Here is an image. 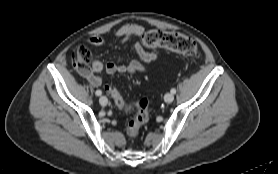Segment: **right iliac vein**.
<instances>
[{"label":"right iliac vein","instance_id":"right-iliac-vein-1","mask_svg":"<svg viewBox=\"0 0 278 174\" xmlns=\"http://www.w3.org/2000/svg\"><path fill=\"white\" fill-rule=\"evenodd\" d=\"M99 103L102 105V106H106L108 104V99L105 97V96H102L100 97L99 99Z\"/></svg>","mask_w":278,"mask_h":174}]
</instances>
